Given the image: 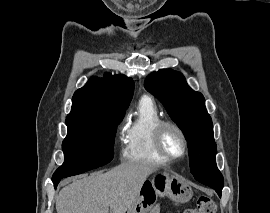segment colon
Here are the masks:
<instances>
[{"mask_svg":"<svg viewBox=\"0 0 270 213\" xmlns=\"http://www.w3.org/2000/svg\"><path fill=\"white\" fill-rule=\"evenodd\" d=\"M183 213H216V204L210 197L201 196L195 207L186 209Z\"/></svg>","mask_w":270,"mask_h":213,"instance_id":"colon-1","label":"colon"}]
</instances>
